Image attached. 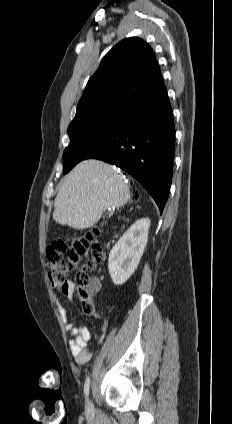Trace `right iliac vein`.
Here are the masks:
<instances>
[{
  "label": "right iliac vein",
  "instance_id": "63e3f726",
  "mask_svg": "<svg viewBox=\"0 0 232 424\" xmlns=\"http://www.w3.org/2000/svg\"><path fill=\"white\" fill-rule=\"evenodd\" d=\"M86 411L87 412L93 411V403L89 398L87 399V402H86Z\"/></svg>",
  "mask_w": 232,
  "mask_h": 424
}]
</instances>
